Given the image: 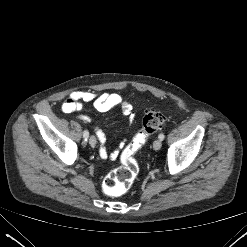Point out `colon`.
I'll return each mask as SVG.
<instances>
[{"label":"colon","mask_w":247,"mask_h":247,"mask_svg":"<svg viewBox=\"0 0 247 247\" xmlns=\"http://www.w3.org/2000/svg\"><path fill=\"white\" fill-rule=\"evenodd\" d=\"M164 124V116L157 110H149L143 120L140 130L121 155V166L111 171L104 179V191L111 196L123 194L133 183L138 173L135 153L146 142L147 138L159 131Z\"/></svg>","instance_id":"colon-1"}]
</instances>
